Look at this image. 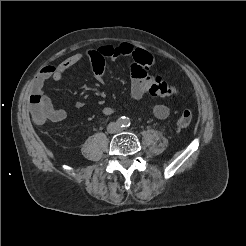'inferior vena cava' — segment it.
Listing matches in <instances>:
<instances>
[{
	"label": "inferior vena cava",
	"instance_id": "obj_1",
	"mask_svg": "<svg viewBox=\"0 0 246 246\" xmlns=\"http://www.w3.org/2000/svg\"><path fill=\"white\" fill-rule=\"evenodd\" d=\"M107 130L110 133H117L121 130V128L117 123H110L107 127Z\"/></svg>",
	"mask_w": 246,
	"mask_h": 246
}]
</instances>
